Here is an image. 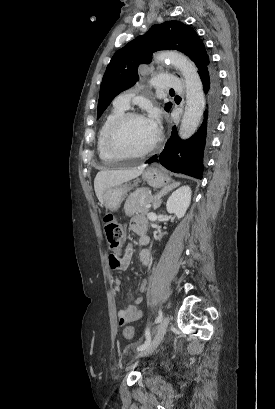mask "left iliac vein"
<instances>
[{
    "label": "left iliac vein",
    "mask_w": 275,
    "mask_h": 409,
    "mask_svg": "<svg viewBox=\"0 0 275 409\" xmlns=\"http://www.w3.org/2000/svg\"><path fill=\"white\" fill-rule=\"evenodd\" d=\"M169 322H170V317L167 315L165 316L161 322L159 323V325L155 328V333H154V337L150 343V345L137 353L136 357L140 358L143 356H147L150 355L161 343V341L163 340L166 332H167V328L169 326Z\"/></svg>",
    "instance_id": "1"
}]
</instances>
